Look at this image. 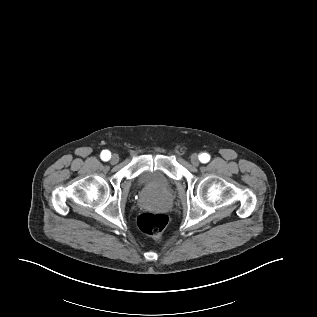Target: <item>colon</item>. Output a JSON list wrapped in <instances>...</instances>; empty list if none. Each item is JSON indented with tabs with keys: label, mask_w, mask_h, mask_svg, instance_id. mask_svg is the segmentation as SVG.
<instances>
[{
	"label": "colon",
	"mask_w": 317,
	"mask_h": 317,
	"mask_svg": "<svg viewBox=\"0 0 317 317\" xmlns=\"http://www.w3.org/2000/svg\"><path fill=\"white\" fill-rule=\"evenodd\" d=\"M167 223L168 216L164 213H142L137 220L139 229L154 239L161 238Z\"/></svg>",
	"instance_id": "obj_1"
}]
</instances>
